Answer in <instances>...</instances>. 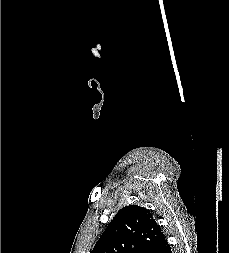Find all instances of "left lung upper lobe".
<instances>
[{
	"mask_svg": "<svg viewBox=\"0 0 229 253\" xmlns=\"http://www.w3.org/2000/svg\"><path fill=\"white\" fill-rule=\"evenodd\" d=\"M164 238L148 209L129 205L115 215L91 253H155Z\"/></svg>",
	"mask_w": 229,
	"mask_h": 253,
	"instance_id": "1",
	"label": "left lung upper lobe"
}]
</instances>
